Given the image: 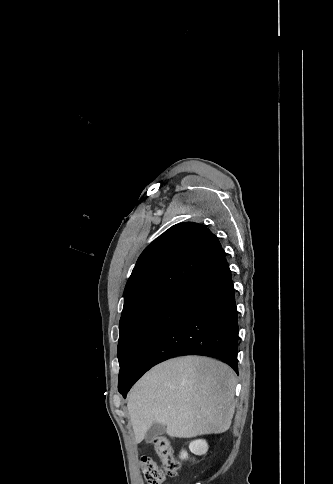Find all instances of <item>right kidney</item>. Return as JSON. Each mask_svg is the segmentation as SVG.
Wrapping results in <instances>:
<instances>
[{
    "mask_svg": "<svg viewBox=\"0 0 333 484\" xmlns=\"http://www.w3.org/2000/svg\"><path fill=\"white\" fill-rule=\"evenodd\" d=\"M189 449L195 455H203L208 451V444L205 440H202V439L195 440L190 443ZM180 458L187 459L188 458L187 452L182 451Z\"/></svg>",
    "mask_w": 333,
    "mask_h": 484,
    "instance_id": "right-kidney-1",
    "label": "right kidney"
}]
</instances>
